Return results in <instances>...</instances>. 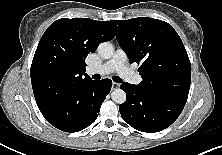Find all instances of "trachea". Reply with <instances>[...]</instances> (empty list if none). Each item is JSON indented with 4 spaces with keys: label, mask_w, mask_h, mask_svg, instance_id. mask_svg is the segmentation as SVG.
Segmentation results:
<instances>
[{
    "label": "trachea",
    "mask_w": 222,
    "mask_h": 155,
    "mask_svg": "<svg viewBox=\"0 0 222 155\" xmlns=\"http://www.w3.org/2000/svg\"><path fill=\"white\" fill-rule=\"evenodd\" d=\"M92 78L95 79V80H98V79H100L101 77H100L99 74H94V75L92 76ZM113 80H114L115 82H117V83H121V82H122V79H121L120 77H117V76H114V77H113Z\"/></svg>",
    "instance_id": "3493384b"
}]
</instances>
